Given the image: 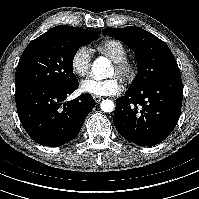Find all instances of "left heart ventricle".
Instances as JSON below:
<instances>
[{
	"instance_id": "1",
	"label": "left heart ventricle",
	"mask_w": 199,
	"mask_h": 199,
	"mask_svg": "<svg viewBox=\"0 0 199 199\" xmlns=\"http://www.w3.org/2000/svg\"><path fill=\"white\" fill-rule=\"evenodd\" d=\"M112 73H115V69H113V72Z\"/></svg>"
}]
</instances>
